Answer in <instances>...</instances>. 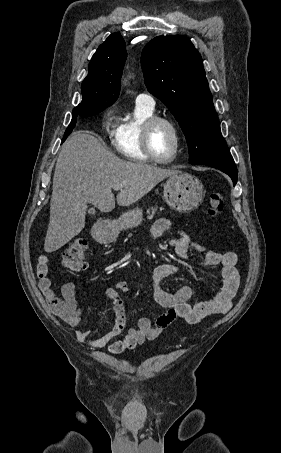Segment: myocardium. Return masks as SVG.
Returning <instances> with one entry per match:
<instances>
[{
	"label": "myocardium",
	"instance_id": "f54148a6",
	"mask_svg": "<svg viewBox=\"0 0 281 453\" xmlns=\"http://www.w3.org/2000/svg\"><path fill=\"white\" fill-rule=\"evenodd\" d=\"M160 125L166 126L174 137L173 152L169 158L162 159L157 156L153 146V138L157 128ZM181 142V134L177 126L170 119L155 116L147 120L143 127L142 143L145 154L153 161L160 164L172 163L178 155Z\"/></svg>",
	"mask_w": 281,
	"mask_h": 453
}]
</instances>
